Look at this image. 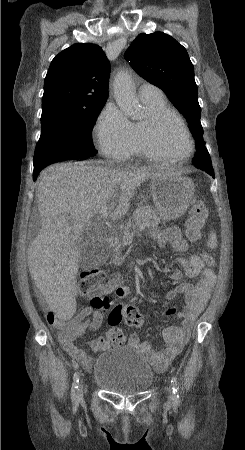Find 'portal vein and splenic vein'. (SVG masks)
<instances>
[{
  "label": "portal vein and splenic vein",
  "instance_id": "1",
  "mask_svg": "<svg viewBox=\"0 0 245 450\" xmlns=\"http://www.w3.org/2000/svg\"><path fill=\"white\" fill-rule=\"evenodd\" d=\"M107 214H108V208L105 206V207H102L101 209H100V215L102 216V217H105V216H107Z\"/></svg>",
  "mask_w": 245,
  "mask_h": 450
}]
</instances>
